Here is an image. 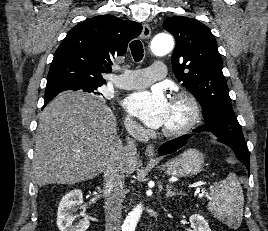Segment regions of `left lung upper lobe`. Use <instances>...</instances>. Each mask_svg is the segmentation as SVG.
<instances>
[{
  "instance_id": "left-lung-upper-lobe-1",
  "label": "left lung upper lobe",
  "mask_w": 268,
  "mask_h": 231,
  "mask_svg": "<svg viewBox=\"0 0 268 231\" xmlns=\"http://www.w3.org/2000/svg\"><path fill=\"white\" fill-rule=\"evenodd\" d=\"M163 28L176 39L172 54L174 74L202 106L206 124L194 131H212L223 143L247 149L210 29L200 21L184 16L165 19Z\"/></svg>"
}]
</instances>
